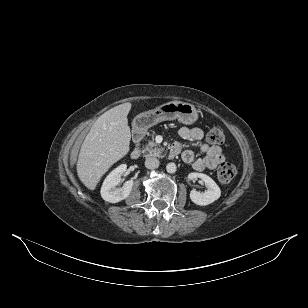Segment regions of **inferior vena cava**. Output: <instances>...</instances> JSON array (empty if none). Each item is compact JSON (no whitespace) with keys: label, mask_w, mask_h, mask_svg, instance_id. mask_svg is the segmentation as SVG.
Returning a JSON list of instances; mask_svg holds the SVG:
<instances>
[{"label":"inferior vena cava","mask_w":308,"mask_h":308,"mask_svg":"<svg viewBox=\"0 0 308 308\" xmlns=\"http://www.w3.org/2000/svg\"><path fill=\"white\" fill-rule=\"evenodd\" d=\"M159 166V160L155 157H148L145 160V167L148 169H155Z\"/></svg>","instance_id":"1"}]
</instances>
